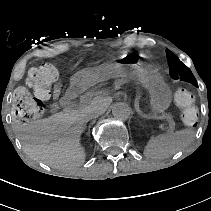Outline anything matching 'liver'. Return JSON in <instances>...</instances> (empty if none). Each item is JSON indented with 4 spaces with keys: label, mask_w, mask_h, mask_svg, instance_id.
<instances>
[{
    "label": "liver",
    "mask_w": 211,
    "mask_h": 211,
    "mask_svg": "<svg viewBox=\"0 0 211 211\" xmlns=\"http://www.w3.org/2000/svg\"><path fill=\"white\" fill-rule=\"evenodd\" d=\"M112 102L110 96L95 97L92 104L104 111ZM82 111L59 112L30 123L16 122L13 130L21 141L26 154L33 160L61 170H71L85 161L79 140L84 129Z\"/></svg>",
    "instance_id": "6515ba94"
}]
</instances>
